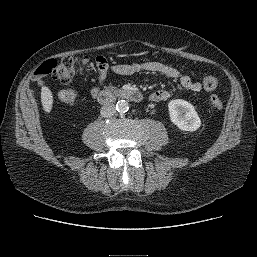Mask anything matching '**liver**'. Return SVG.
<instances>
[{"label": "liver", "mask_w": 257, "mask_h": 257, "mask_svg": "<svg viewBox=\"0 0 257 257\" xmlns=\"http://www.w3.org/2000/svg\"><path fill=\"white\" fill-rule=\"evenodd\" d=\"M38 84L41 86V102L43 109L46 113H50L53 106V94L51 90L44 85V82L38 80Z\"/></svg>", "instance_id": "liver-1"}]
</instances>
